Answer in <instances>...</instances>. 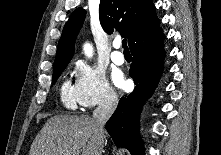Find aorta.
Returning a JSON list of instances; mask_svg holds the SVG:
<instances>
[{
  "instance_id": "762f6f07",
  "label": "aorta",
  "mask_w": 221,
  "mask_h": 155,
  "mask_svg": "<svg viewBox=\"0 0 221 155\" xmlns=\"http://www.w3.org/2000/svg\"><path fill=\"white\" fill-rule=\"evenodd\" d=\"M84 51H85V54H86L88 57H91V56H92L93 49H92V46H91L90 44H85V46H84Z\"/></svg>"
}]
</instances>
